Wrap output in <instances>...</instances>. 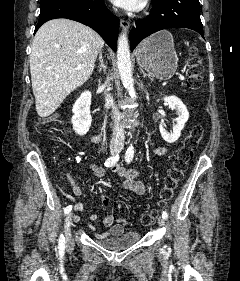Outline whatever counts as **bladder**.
Returning <instances> with one entry per match:
<instances>
[{"instance_id": "31cf9c89", "label": "bladder", "mask_w": 240, "mask_h": 281, "mask_svg": "<svg viewBox=\"0 0 240 281\" xmlns=\"http://www.w3.org/2000/svg\"><path fill=\"white\" fill-rule=\"evenodd\" d=\"M140 233L127 232L116 237L98 238L97 243L109 250H123L135 245L140 240Z\"/></svg>"}]
</instances>
